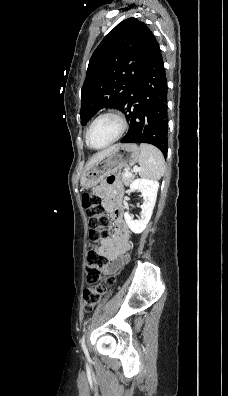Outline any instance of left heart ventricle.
Returning a JSON list of instances; mask_svg holds the SVG:
<instances>
[{
    "mask_svg": "<svg viewBox=\"0 0 228 396\" xmlns=\"http://www.w3.org/2000/svg\"><path fill=\"white\" fill-rule=\"evenodd\" d=\"M119 124L113 117L99 119L93 126L89 141L93 147H102L110 142L118 133Z\"/></svg>",
    "mask_w": 228,
    "mask_h": 396,
    "instance_id": "obj_1",
    "label": "left heart ventricle"
}]
</instances>
